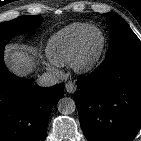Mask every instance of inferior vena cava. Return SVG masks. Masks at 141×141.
I'll use <instances>...</instances> for the list:
<instances>
[{"mask_svg":"<svg viewBox=\"0 0 141 141\" xmlns=\"http://www.w3.org/2000/svg\"><path fill=\"white\" fill-rule=\"evenodd\" d=\"M36 82L40 87H51L58 83V78L51 72H45L36 80Z\"/></svg>","mask_w":141,"mask_h":141,"instance_id":"obj_1","label":"inferior vena cava"}]
</instances>
